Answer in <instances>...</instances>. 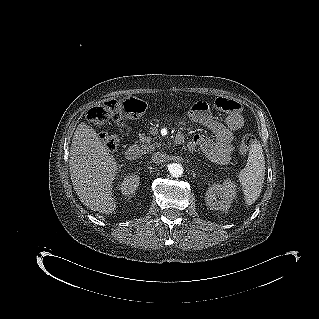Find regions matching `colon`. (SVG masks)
<instances>
[{
    "mask_svg": "<svg viewBox=\"0 0 319 319\" xmlns=\"http://www.w3.org/2000/svg\"><path fill=\"white\" fill-rule=\"evenodd\" d=\"M215 106L223 111L238 112L241 109V105L232 99L218 98L215 101ZM146 110V104L139 99L125 98L122 100H109L102 104L96 105L87 111L86 117L89 122L94 125H102L110 118L117 122H120L124 116L137 117ZM121 132L126 133L127 127L123 123L121 124ZM102 140L105 146L114 150L117 148L120 142V138L117 134H103ZM254 139L251 136H245L238 147L240 154H244L253 144Z\"/></svg>",
    "mask_w": 319,
    "mask_h": 319,
    "instance_id": "1",
    "label": "colon"
}]
</instances>
